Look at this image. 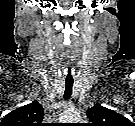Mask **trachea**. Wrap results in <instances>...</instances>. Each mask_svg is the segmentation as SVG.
Instances as JSON below:
<instances>
[{
  "instance_id": "3493384b",
  "label": "trachea",
  "mask_w": 135,
  "mask_h": 126,
  "mask_svg": "<svg viewBox=\"0 0 135 126\" xmlns=\"http://www.w3.org/2000/svg\"><path fill=\"white\" fill-rule=\"evenodd\" d=\"M73 83H74V80L71 75V68L68 67V74H67V78L65 82V91H64V96H63L65 100H68L72 95Z\"/></svg>"
}]
</instances>
